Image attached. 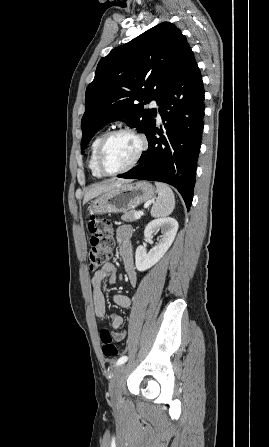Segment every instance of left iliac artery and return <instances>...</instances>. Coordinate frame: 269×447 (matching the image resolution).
Masks as SVG:
<instances>
[{
    "label": "left iliac artery",
    "mask_w": 269,
    "mask_h": 447,
    "mask_svg": "<svg viewBox=\"0 0 269 447\" xmlns=\"http://www.w3.org/2000/svg\"><path fill=\"white\" fill-rule=\"evenodd\" d=\"M127 360H128V357H127V356H122V357H120V358L118 359L116 365H117V366L122 365V364L125 363Z\"/></svg>",
    "instance_id": "obj_1"
}]
</instances>
